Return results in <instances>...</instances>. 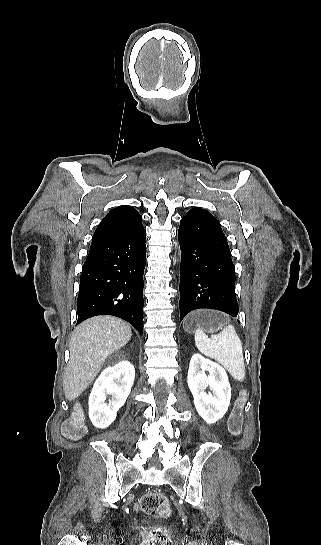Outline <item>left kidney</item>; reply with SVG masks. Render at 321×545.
Here are the masks:
<instances>
[{
    "label": "left kidney",
    "instance_id": "1",
    "mask_svg": "<svg viewBox=\"0 0 321 545\" xmlns=\"http://www.w3.org/2000/svg\"><path fill=\"white\" fill-rule=\"evenodd\" d=\"M205 371H208V377ZM187 383L198 415L208 425L222 419L228 411L231 399V387L223 367L196 353L190 361ZM206 387H210V395L206 393Z\"/></svg>",
    "mask_w": 321,
    "mask_h": 545
}]
</instances>
